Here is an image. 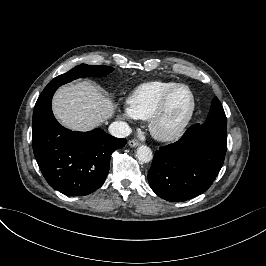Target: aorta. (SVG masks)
Returning a JSON list of instances; mask_svg holds the SVG:
<instances>
[{"mask_svg":"<svg viewBox=\"0 0 266 266\" xmlns=\"http://www.w3.org/2000/svg\"><path fill=\"white\" fill-rule=\"evenodd\" d=\"M136 157L141 162L148 163L153 158L152 150L146 145H141L136 150Z\"/></svg>","mask_w":266,"mask_h":266,"instance_id":"762f6f07","label":"aorta"}]
</instances>
